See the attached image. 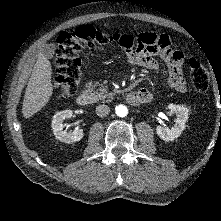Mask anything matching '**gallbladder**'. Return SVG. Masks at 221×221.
I'll return each mask as SVG.
<instances>
[{
  "instance_id": "obj_1",
  "label": "gallbladder",
  "mask_w": 221,
  "mask_h": 221,
  "mask_svg": "<svg viewBox=\"0 0 221 221\" xmlns=\"http://www.w3.org/2000/svg\"><path fill=\"white\" fill-rule=\"evenodd\" d=\"M55 46L53 44H48L45 46L43 52L47 57H53Z\"/></svg>"
}]
</instances>
